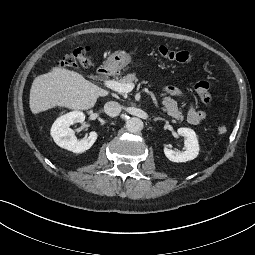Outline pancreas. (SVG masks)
<instances>
[{"label": "pancreas", "mask_w": 255, "mask_h": 255, "mask_svg": "<svg viewBox=\"0 0 255 255\" xmlns=\"http://www.w3.org/2000/svg\"><path fill=\"white\" fill-rule=\"evenodd\" d=\"M137 81H138V78L136 77L135 73L128 74L118 80V82L122 84L134 83ZM122 95H125V94H122ZM162 96H164L162 100V104H163L162 110L164 112H167V114L171 116L172 118H175L176 120H179V121H183L184 116L182 112L178 109L177 102L171 97L166 96V94H162Z\"/></svg>", "instance_id": "obj_1"}]
</instances>
